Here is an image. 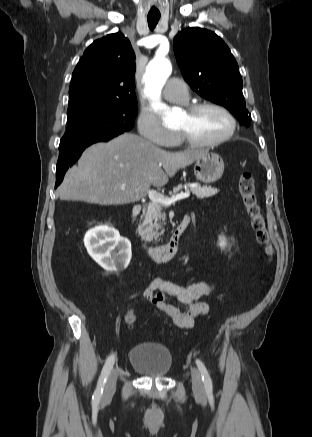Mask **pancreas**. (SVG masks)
<instances>
[{
  "label": "pancreas",
  "instance_id": "cf45deb5",
  "mask_svg": "<svg viewBox=\"0 0 312 437\" xmlns=\"http://www.w3.org/2000/svg\"><path fill=\"white\" fill-rule=\"evenodd\" d=\"M181 189L182 185L179 184L173 189V194L178 193ZM189 190L199 199L208 198L218 193L216 188L201 186L199 184L193 187L187 184L186 191L189 192ZM163 207H165L164 204L150 202L144 212V220L140 226V230L149 241L153 238L158 240V238L164 233L163 226L166 225V214L162 211Z\"/></svg>",
  "mask_w": 312,
  "mask_h": 437
}]
</instances>
